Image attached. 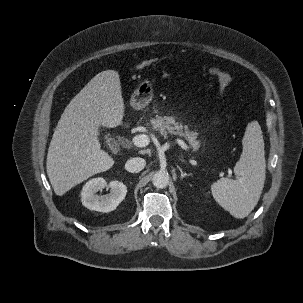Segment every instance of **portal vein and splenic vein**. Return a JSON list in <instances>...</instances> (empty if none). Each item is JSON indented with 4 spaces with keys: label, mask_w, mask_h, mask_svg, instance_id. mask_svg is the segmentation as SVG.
<instances>
[{
    "label": "portal vein and splenic vein",
    "mask_w": 303,
    "mask_h": 303,
    "mask_svg": "<svg viewBox=\"0 0 303 303\" xmlns=\"http://www.w3.org/2000/svg\"><path fill=\"white\" fill-rule=\"evenodd\" d=\"M150 139L148 137V135L145 134H139L136 135L132 138V143L137 146V147H145L149 144ZM176 142L178 143L179 146H181V148L187 150L188 146L186 145V143L181 140V139H176ZM232 172L229 171V174H231Z\"/></svg>",
    "instance_id": "obj_1"
}]
</instances>
